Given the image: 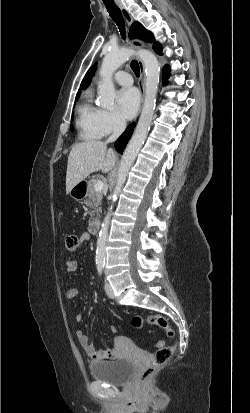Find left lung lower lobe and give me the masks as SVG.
I'll return each mask as SVG.
<instances>
[{
  "instance_id": "0a47b994",
  "label": "left lung lower lobe",
  "mask_w": 250,
  "mask_h": 413,
  "mask_svg": "<svg viewBox=\"0 0 250 413\" xmlns=\"http://www.w3.org/2000/svg\"><path fill=\"white\" fill-rule=\"evenodd\" d=\"M158 54H161V51H156ZM163 78H164V80H165V78H166V76L168 75V73H169V67L168 66H165L164 67V69H163Z\"/></svg>"
}]
</instances>
